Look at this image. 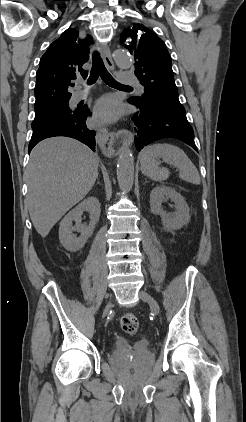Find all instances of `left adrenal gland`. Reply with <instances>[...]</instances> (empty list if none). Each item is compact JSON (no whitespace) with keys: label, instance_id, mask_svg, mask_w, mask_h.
I'll list each match as a JSON object with an SVG mask.
<instances>
[{"label":"left adrenal gland","instance_id":"obj_1","mask_svg":"<svg viewBox=\"0 0 246 422\" xmlns=\"http://www.w3.org/2000/svg\"><path fill=\"white\" fill-rule=\"evenodd\" d=\"M148 181L147 180H145V184L147 183Z\"/></svg>","mask_w":246,"mask_h":422}]
</instances>
